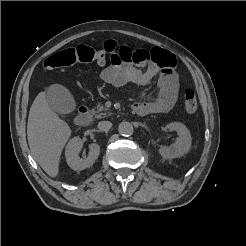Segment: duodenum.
Here are the masks:
<instances>
[{
    "label": "duodenum",
    "mask_w": 246,
    "mask_h": 246,
    "mask_svg": "<svg viewBox=\"0 0 246 246\" xmlns=\"http://www.w3.org/2000/svg\"><path fill=\"white\" fill-rule=\"evenodd\" d=\"M91 121L90 110L86 106L79 107L75 117V123L78 126H87Z\"/></svg>",
    "instance_id": "obj_1"
}]
</instances>
